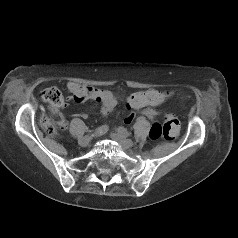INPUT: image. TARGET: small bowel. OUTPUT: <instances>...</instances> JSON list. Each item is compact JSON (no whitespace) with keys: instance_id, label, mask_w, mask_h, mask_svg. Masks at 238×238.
Wrapping results in <instances>:
<instances>
[{"instance_id":"c3829d8e","label":"small bowel","mask_w":238,"mask_h":238,"mask_svg":"<svg viewBox=\"0 0 238 238\" xmlns=\"http://www.w3.org/2000/svg\"><path fill=\"white\" fill-rule=\"evenodd\" d=\"M68 89L71 92L70 99L77 103H82L87 100H93V101L99 102L102 106V115L105 117L108 116L112 112V110L114 109L117 103V99L115 95L108 89H100V88H95L91 86H84L76 82H69ZM166 97H167L166 92H162L155 89L148 90V91L135 92L129 96L127 100V107L134 111H140L144 115V111L147 108H154L155 106L161 104L166 99ZM64 106L66 105H63V107ZM59 108L60 107L58 108L53 107L51 108V112L54 114H57L59 112ZM77 116L86 118V114H77ZM157 116H158V112H157ZM133 119H134V114H128L125 117V123L129 124L133 121ZM154 119H150V120H154ZM66 124L67 122L65 119L60 118L58 120V125L61 128H64Z\"/></svg>"}]
</instances>
